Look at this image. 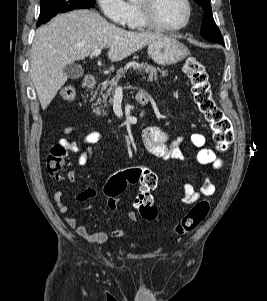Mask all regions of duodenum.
Masks as SVG:
<instances>
[{
    "label": "duodenum",
    "instance_id": "410a0bca",
    "mask_svg": "<svg viewBox=\"0 0 267 301\" xmlns=\"http://www.w3.org/2000/svg\"><path fill=\"white\" fill-rule=\"evenodd\" d=\"M95 83H96V78L95 77H87L84 79L82 87L86 90V91H91L94 89L95 87ZM137 103L140 106H145L148 103V95L146 92H139L137 95Z\"/></svg>",
    "mask_w": 267,
    "mask_h": 301
}]
</instances>
